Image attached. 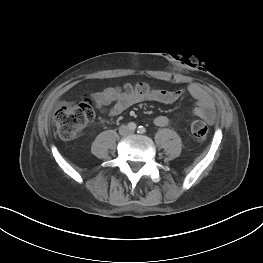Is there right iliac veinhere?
<instances>
[{"instance_id": "right-iliac-vein-1", "label": "right iliac vein", "mask_w": 263, "mask_h": 263, "mask_svg": "<svg viewBox=\"0 0 263 263\" xmlns=\"http://www.w3.org/2000/svg\"><path fill=\"white\" fill-rule=\"evenodd\" d=\"M123 132L126 133V129H123Z\"/></svg>"}]
</instances>
